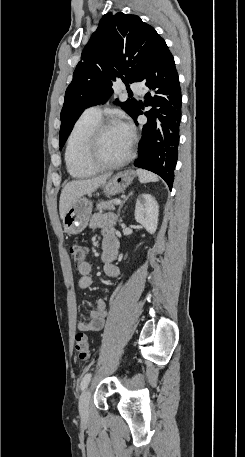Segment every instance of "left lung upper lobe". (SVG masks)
<instances>
[{
	"instance_id": "obj_1",
	"label": "left lung upper lobe",
	"mask_w": 245,
	"mask_h": 457,
	"mask_svg": "<svg viewBox=\"0 0 245 457\" xmlns=\"http://www.w3.org/2000/svg\"><path fill=\"white\" fill-rule=\"evenodd\" d=\"M163 39L137 15L107 13L85 46L73 80L65 93L61 111L60 149L83 110L104 103L113 94V84L122 79L138 82L153 49ZM117 103L131 116L137 101Z\"/></svg>"
}]
</instances>
